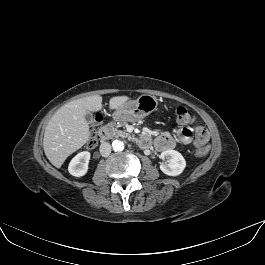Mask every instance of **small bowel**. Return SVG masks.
<instances>
[{
  "instance_id": "1",
  "label": "small bowel",
  "mask_w": 265,
  "mask_h": 265,
  "mask_svg": "<svg viewBox=\"0 0 265 265\" xmlns=\"http://www.w3.org/2000/svg\"><path fill=\"white\" fill-rule=\"evenodd\" d=\"M176 140L184 144L191 142L199 149L204 147L208 142V133L204 128H197L194 132L188 127H182L177 131V136L171 133H163L159 135L154 145L159 151H166L172 149L175 146Z\"/></svg>"
}]
</instances>
